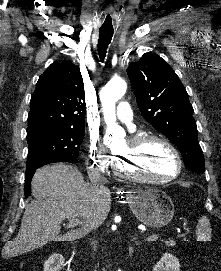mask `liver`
Segmentation results:
<instances>
[{
    "label": "liver",
    "mask_w": 221,
    "mask_h": 271,
    "mask_svg": "<svg viewBox=\"0 0 221 271\" xmlns=\"http://www.w3.org/2000/svg\"><path fill=\"white\" fill-rule=\"evenodd\" d=\"M31 187L37 201L26 203L20 229L13 241H7L2 257H15L48 241H73L86 235L90 225L105 221L111 205L110 197H101L75 165L53 163L35 171ZM81 217V227L61 235L65 217Z\"/></svg>",
    "instance_id": "liver-1"
}]
</instances>
